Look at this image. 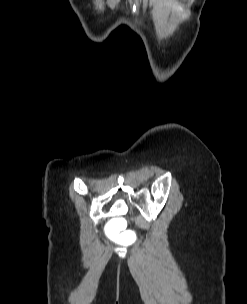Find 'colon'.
<instances>
[{
  "instance_id": "obj_1",
  "label": "colon",
  "mask_w": 247,
  "mask_h": 304,
  "mask_svg": "<svg viewBox=\"0 0 247 304\" xmlns=\"http://www.w3.org/2000/svg\"><path fill=\"white\" fill-rule=\"evenodd\" d=\"M114 219L108 221V238L115 240L116 244H137L138 239L135 233H130L133 230L132 225H128L125 214H118ZM126 232V233H120Z\"/></svg>"
}]
</instances>
